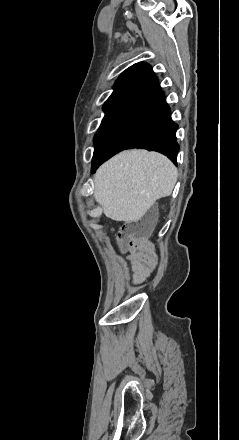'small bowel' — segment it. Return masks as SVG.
<instances>
[{"instance_id": "small-bowel-1", "label": "small bowel", "mask_w": 239, "mask_h": 440, "mask_svg": "<svg viewBox=\"0 0 239 440\" xmlns=\"http://www.w3.org/2000/svg\"><path fill=\"white\" fill-rule=\"evenodd\" d=\"M128 260L133 269V281L139 283L143 281L157 263V257L154 250L146 244L138 247L128 248Z\"/></svg>"}]
</instances>
